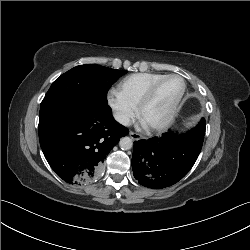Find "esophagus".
Segmentation results:
<instances>
[{
	"label": "esophagus",
	"mask_w": 250,
	"mask_h": 250,
	"mask_svg": "<svg viewBox=\"0 0 250 250\" xmlns=\"http://www.w3.org/2000/svg\"><path fill=\"white\" fill-rule=\"evenodd\" d=\"M129 136H130L133 140H139V139H141V137H142L140 134L135 133V132H133V131H130V132H129Z\"/></svg>",
	"instance_id": "esophagus-1"
}]
</instances>
